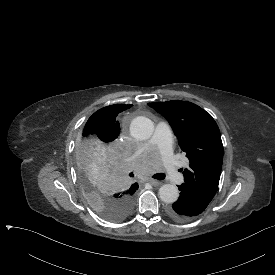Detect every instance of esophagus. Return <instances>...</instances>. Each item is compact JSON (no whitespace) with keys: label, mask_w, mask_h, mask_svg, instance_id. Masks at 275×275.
<instances>
[{"label":"esophagus","mask_w":275,"mask_h":275,"mask_svg":"<svg viewBox=\"0 0 275 275\" xmlns=\"http://www.w3.org/2000/svg\"><path fill=\"white\" fill-rule=\"evenodd\" d=\"M148 183L151 184L152 186H158L161 184L160 181L155 180V179H149Z\"/></svg>","instance_id":"obj_1"}]
</instances>
